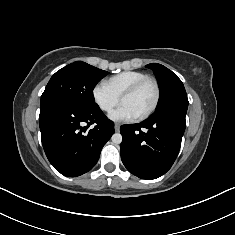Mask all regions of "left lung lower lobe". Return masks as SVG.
<instances>
[{
  "instance_id": "1",
  "label": "left lung lower lobe",
  "mask_w": 235,
  "mask_h": 235,
  "mask_svg": "<svg viewBox=\"0 0 235 235\" xmlns=\"http://www.w3.org/2000/svg\"><path fill=\"white\" fill-rule=\"evenodd\" d=\"M185 113L170 111L140 124L122 125L121 159L127 170L142 179H155L173 165L185 131ZM147 129L143 132L142 129Z\"/></svg>"
}]
</instances>
